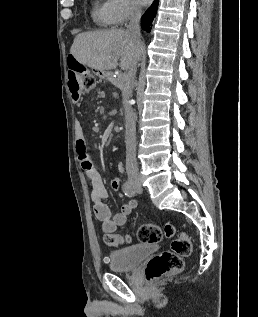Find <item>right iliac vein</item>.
<instances>
[{"mask_svg":"<svg viewBox=\"0 0 258 317\" xmlns=\"http://www.w3.org/2000/svg\"><path fill=\"white\" fill-rule=\"evenodd\" d=\"M131 184L132 186H140L141 181L140 179H132Z\"/></svg>","mask_w":258,"mask_h":317,"instance_id":"right-iliac-vein-1","label":"right iliac vein"}]
</instances>
